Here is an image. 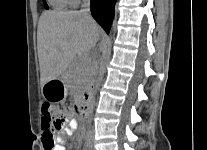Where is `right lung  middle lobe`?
I'll return each instance as SVG.
<instances>
[{
    "mask_svg": "<svg viewBox=\"0 0 207 150\" xmlns=\"http://www.w3.org/2000/svg\"><path fill=\"white\" fill-rule=\"evenodd\" d=\"M44 6H45V8L46 9H48V6H47V4H46V1L44 0Z\"/></svg>",
    "mask_w": 207,
    "mask_h": 150,
    "instance_id": "1",
    "label": "right lung middle lobe"
}]
</instances>
